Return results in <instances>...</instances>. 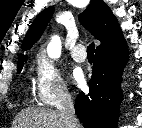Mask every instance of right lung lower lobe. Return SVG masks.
<instances>
[{
	"label": "right lung lower lobe",
	"mask_w": 142,
	"mask_h": 128,
	"mask_svg": "<svg viewBox=\"0 0 142 128\" xmlns=\"http://www.w3.org/2000/svg\"><path fill=\"white\" fill-rule=\"evenodd\" d=\"M127 59L126 42L96 52L89 93L80 92L75 102V112L87 128H116L123 100L121 76Z\"/></svg>",
	"instance_id": "98d812e1"
}]
</instances>
